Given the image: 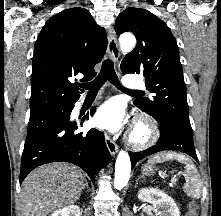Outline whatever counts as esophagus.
Listing matches in <instances>:
<instances>
[{
    "label": "esophagus",
    "instance_id": "obj_1",
    "mask_svg": "<svg viewBox=\"0 0 221 216\" xmlns=\"http://www.w3.org/2000/svg\"><path fill=\"white\" fill-rule=\"evenodd\" d=\"M107 51L110 57L115 61L118 62L120 58V50L117 41V37L113 27L108 28V46ZM106 146L111 155H115L118 151V146L115 141L107 134L104 135Z\"/></svg>",
    "mask_w": 221,
    "mask_h": 216
}]
</instances>
